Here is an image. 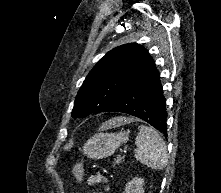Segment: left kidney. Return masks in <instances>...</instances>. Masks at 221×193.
I'll return each mask as SVG.
<instances>
[{
  "mask_svg": "<svg viewBox=\"0 0 221 193\" xmlns=\"http://www.w3.org/2000/svg\"><path fill=\"white\" fill-rule=\"evenodd\" d=\"M143 184L144 179L134 178L126 184L124 193H144Z\"/></svg>",
  "mask_w": 221,
  "mask_h": 193,
  "instance_id": "1",
  "label": "left kidney"
}]
</instances>
